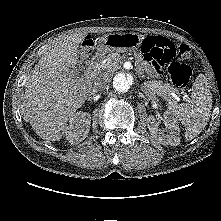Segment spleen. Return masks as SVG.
Masks as SVG:
<instances>
[{
  "label": "spleen",
  "mask_w": 221,
  "mask_h": 221,
  "mask_svg": "<svg viewBox=\"0 0 221 221\" xmlns=\"http://www.w3.org/2000/svg\"><path fill=\"white\" fill-rule=\"evenodd\" d=\"M167 114L174 120L181 121L185 127V138L191 140L199 135L207 125L212 109V94L204 80H197L194 84L192 100L177 104L174 99H168Z\"/></svg>",
  "instance_id": "1"
}]
</instances>
